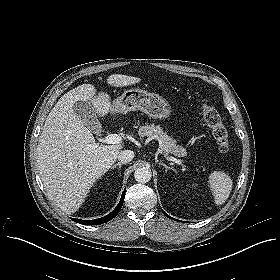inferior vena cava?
<instances>
[{
    "label": "inferior vena cava",
    "instance_id": "602c4592",
    "mask_svg": "<svg viewBox=\"0 0 280 280\" xmlns=\"http://www.w3.org/2000/svg\"><path fill=\"white\" fill-rule=\"evenodd\" d=\"M118 160L121 161L122 163H128L133 160L134 158V152L131 150H123L120 151L118 156Z\"/></svg>",
    "mask_w": 280,
    "mask_h": 280
}]
</instances>
